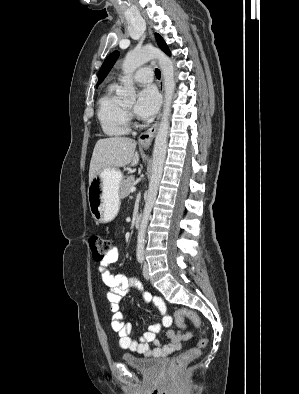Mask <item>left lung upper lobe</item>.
<instances>
[{
	"instance_id": "obj_1",
	"label": "left lung upper lobe",
	"mask_w": 299,
	"mask_h": 394,
	"mask_svg": "<svg viewBox=\"0 0 299 394\" xmlns=\"http://www.w3.org/2000/svg\"><path fill=\"white\" fill-rule=\"evenodd\" d=\"M155 37H156V40L158 42L160 49L163 50L166 54L170 55V51L168 49V46L164 42L163 38L159 34H155ZM118 56H119V52L115 51V52L111 53L107 57V59L104 61L103 65L100 69V72H99L97 86L104 80V78L106 77V75L108 74V72L110 71L112 66L114 65L115 61L117 60Z\"/></svg>"
}]
</instances>
